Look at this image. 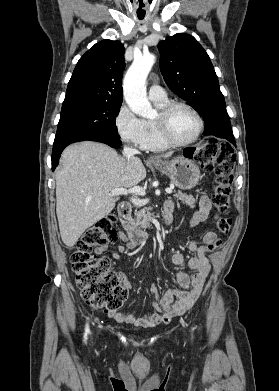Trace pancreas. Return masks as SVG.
Masks as SVG:
<instances>
[{
  "instance_id": "pancreas-1",
  "label": "pancreas",
  "mask_w": 279,
  "mask_h": 391,
  "mask_svg": "<svg viewBox=\"0 0 279 391\" xmlns=\"http://www.w3.org/2000/svg\"><path fill=\"white\" fill-rule=\"evenodd\" d=\"M177 200H181L183 203L190 207H194L195 199L192 195H187L178 191L174 194ZM154 220V214L150 212V208H144L135 212V219L131 220L130 223L136 227L146 229L149 227L150 222Z\"/></svg>"
}]
</instances>
